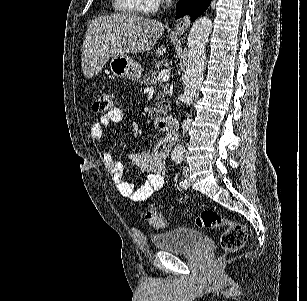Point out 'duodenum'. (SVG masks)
Wrapping results in <instances>:
<instances>
[{"mask_svg":"<svg viewBox=\"0 0 307 301\" xmlns=\"http://www.w3.org/2000/svg\"><path fill=\"white\" fill-rule=\"evenodd\" d=\"M178 121L174 116L166 115L156 119V127L159 130L174 132L177 129Z\"/></svg>","mask_w":307,"mask_h":301,"instance_id":"1","label":"duodenum"}]
</instances>
